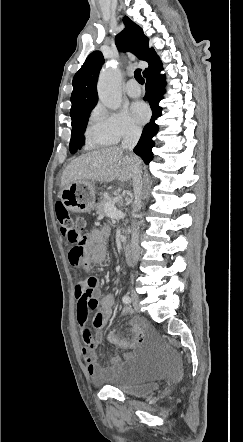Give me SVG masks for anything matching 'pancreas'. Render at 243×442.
Segmentation results:
<instances>
[{
	"label": "pancreas",
	"mask_w": 243,
	"mask_h": 442,
	"mask_svg": "<svg viewBox=\"0 0 243 442\" xmlns=\"http://www.w3.org/2000/svg\"><path fill=\"white\" fill-rule=\"evenodd\" d=\"M106 204H114L111 200L108 199H102L97 205H96V213L100 216H107L105 212V205Z\"/></svg>",
	"instance_id": "1"
}]
</instances>
